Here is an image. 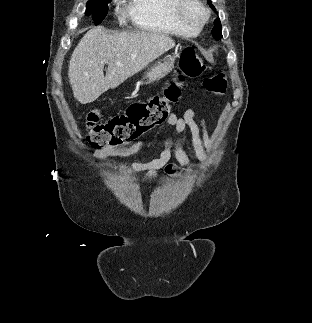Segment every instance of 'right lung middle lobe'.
I'll list each match as a JSON object with an SVG mask.
<instances>
[{"label":"right lung middle lobe","instance_id":"dd1d6c3e","mask_svg":"<svg viewBox=\"0 0 312 323\" xmlns=\"http://www.w3.org/2000/svg\"><path fill=\"white\" fill-rule=\"evenodd\" d=\"M111 0L106 1H98V0H90L86 5L85 15H91L95 24H100L108 12L107 3Z\"/></svg>","mask_w":312,"mask_h":323}]
</instances>
